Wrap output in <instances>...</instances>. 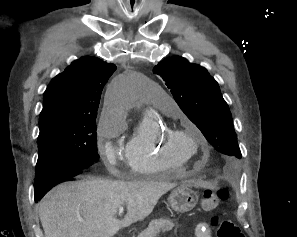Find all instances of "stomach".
<instances>
[{
  "instance_id": "0dacf381",
  "label": "stomach",
  "mask_w": 297,
  "mask_h": 237,
  "mask_svg": "<svg viewBox=\"0 0 297 237\" xmlns=\"http://www.w3.org/2000/svg\"><path fill=\"white\" fill-rule=\"evenodd\" d=\"M168 201L174 211L185 213L189 212L196 206L198 196L189 188L181 186L172 191Z\"/></svg>"
}]
</instances>
